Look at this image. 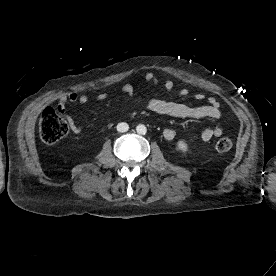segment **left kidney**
<instances>
[{"instance_id":"obj_1","label":"left kidney","mask_w":276,"mask_h":276,"mask_svg":"<svg viewBox=\"0 0 276 276\" xmlns=\"http://www.w3.org/2000/svg\"><path fill=\"white\" fill-rule=\"evenodd\" d=\"M177 146L182 151H188V145L183 140L178 141Z\"/></svg>"}]
</instances>
